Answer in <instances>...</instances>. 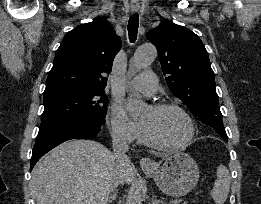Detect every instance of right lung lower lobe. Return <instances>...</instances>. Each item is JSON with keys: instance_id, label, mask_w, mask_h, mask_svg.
<instances>
[{"instance_id": "right-lung-lower-lobe-1", "label": "right lung lower lobe", "mask_w": 261, "mask_h": 204, "mask_svg": "<svg viewBox=\"0 0 261 204\" xmlns=\"http://www.w3.org/2000/svg\"><path fill=\"white\" fill-rule=\"evenodd\" d=\"M105 119L87 115L63 116L41 121L33 148L30 170L48 151L70 139H90L101 131Z\"/></svg>"}]
</instances>
